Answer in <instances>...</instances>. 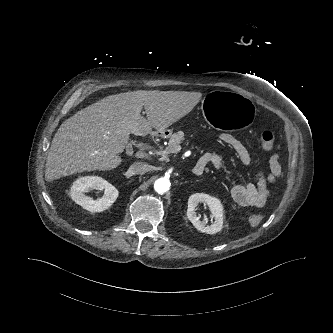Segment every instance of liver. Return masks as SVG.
<instances>
[{
	"label": "liver",
	"mask_w": 333,
	"mask_h": 333,
	"mask_svg": "<svg viewBox=\"0 0 333 333\" xmlns=\"http://www.w3.org/2000/svg\"><path fill=\"white\" fill-rule=\"evenodd\" d=\"M202 93L130 91L105 97L64 121L51 143L45 179L118 167L130 134L164 130L187 115ZM145 109L146 117L141 116Z\"/></svg>",
	"instance_id": "liver-1"
}]
</instances>
